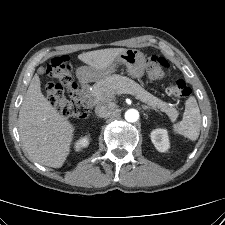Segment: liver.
Segmentation results:
<instances>
[{
	"label": "liver",
	"instance_id": "obj_1",
	"mask_svg": "<svg viewBox=\"0 0 225 225\" xmlns=\"http://www.w3.org/2000/svg\"><path fill=\"white\" fill-rule=\"evenodd\" d=\"M124 51L125 48L95 50L78 55V59L97 70H105ZM18 127L20 139L31 160L44 166L62 167L70 153L75 129L43 95L37 74L32 78L21 104Z\"/></svg>",
	"mask_w": 225,
	"mask_h": 225
}]
</instances>
